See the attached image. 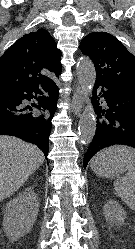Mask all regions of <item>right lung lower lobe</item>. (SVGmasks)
Listing matches in <instances>:
<instances>
[{"mask_svg": "<svg viewBox=\"0 0 135 249\" xmlns=\"http://www.w3.org/2000/svg\"><path fill=\"white\" fill-rule=\"evenodd\" d=\"M41 86L48 96L43 95L39 86L0 90V135L16 136L36 144L47 159L48 137L52 127L51 120L56 109L58 88L54 81ZM32 93L40 96H34ZM33 98L36 99L37 104H32V107L39 110H48L49 118L31 112L32 107L24 104V100L30 101Z\"/></svg>", "mask_w": 135, "mask_h": 249, "instance_id": "obj_1", "label": "right lung lower lobe"}]
</instances>
